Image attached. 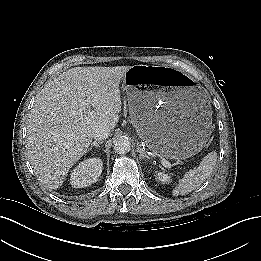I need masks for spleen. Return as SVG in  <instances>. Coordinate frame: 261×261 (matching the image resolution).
Returning <instances> with one entry per match:
<instances>
[{
  "instance_id": "3e777b00",
  "label": "spleen",
  "mask_w": 261,
  "mask_h": 261,
  "mask_svg": "<svg viewBox=\"0 0 261 261\" xmlns=\"http://www.w3.org/2000/svg\"><path fill=\"white\" fill-rule=\"evenodd\" d=\"M217 162V153H208L193 170L186 172L179 180L178 185L172 190L173 196L185 195L198 188L204 180L212 173Z\"/></svg>"
}]
</instances>
